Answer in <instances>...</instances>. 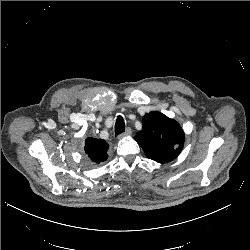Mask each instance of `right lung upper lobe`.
Returning a JSON list of instances; mask_svg holds the SVG:
<instances>
[{"label":"right lung upper lobe","mask_w":250,"mask_h":250,"mask_svg":"<svg viewBox=\"0 0 250 250\" xmlns=\"http://www.w3.org/2000/svg\"><path fill=\"white\" fill-rule=\"evenodd\" d=\"M109 144L103 139L89 137L85 140V153L92 162L99 164L108 158Z\"/></svg>","instance_id":"obj_1"}]
</instances>
